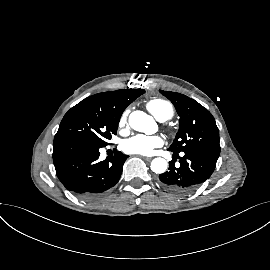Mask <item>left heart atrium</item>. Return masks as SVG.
Wrapping results in <instances>:
<instances>
[{
  "label": "left heart atrium",
  "instance_id": "39dd6f15",
  "mask_svg": "<svg viewBox=\"0 0 270 270\" xmlns=\"http://www.w3.org/2000/svg\"><path fill=\"white\" fill-rule=\"evenodd\" d=\"M162 145L160 136L138 134L124 141L123 150L129 154L150 155Z\"/></svg>",
  "mask_w": 270,
  "mask_h": 270
}]
</instances>
